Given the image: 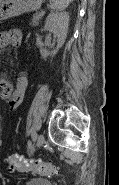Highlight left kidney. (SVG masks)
Instances as JSON below:
<instances>
[{"label":"left kidney","mask_w":119,"mask_h":185,"mask_svg":"<svg viewBox=\"0 0 119 185\" xmlns=\"http://www.w3.org/2000/svg\"><path fill=\"white\" fill-rule=\"evenodd\" d=\"M69 26L68 12H51L45 21L44 29L54 34L57 37V47L53 51H48L41 48L40 53L43 59L48 56H54L65 43Z\"/></svg>","instance_id":"5707ae66"}]
</instances>
